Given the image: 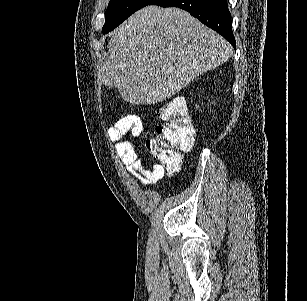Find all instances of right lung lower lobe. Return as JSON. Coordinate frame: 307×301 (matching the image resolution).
Wrapping results in <instances>:
<instances>
[{
    "instance_id": "right-lung-lower-lobe-1",
    "label": "right lung lower lobe",
    "mask_w": 307,
    "mask_h": 301,
    "mask_svg": "<svg viewBox=\"0 0 307 301\" xmlns=\"http://www.w3.org/2000/svg\"><path fill=\"white\" fill-rule=\"evenodd\" d=\"M150 5L179 7L186 10L206 26L222 35L235 47L231 13L228 9L227 0H155Z\"/></svg>"
}]
</instances>
